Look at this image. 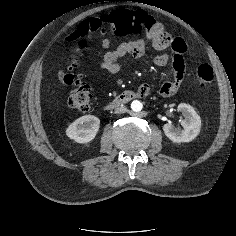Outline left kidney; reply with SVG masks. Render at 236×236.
<instances>
[{
    "label": "left kidney",
    "mask_w": 236,
    "mask_h": 236,
    "mask_svg": "<svg viewBox=\"0 0 236 236\" xmlns=\"http://www.w3.org/2000/svg\"><path fill=\"white\" fill-rule=\"evenodd\" d=\"M178 110L182 112L185 120H182L183 129L175 128L171 123L164 124L163 131L165 135L173 142H190L195 139L201 128L200 116L194 108L185 103L178 105Z\"/></svg>",
    "instance_id": "obj_1"
}]
</instances>
